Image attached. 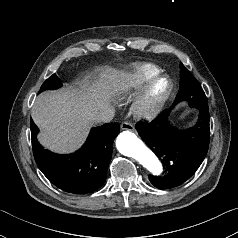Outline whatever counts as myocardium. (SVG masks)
Returning <instances> with one entry per match:
<instances>
[{
    "label": "myocardium",
    "instance_id": "f54148a6",
    "mask_svg": "<svg viewBox=\"0 0 238 238\" xmlns=\"http://www.w3.org/2000/svg\"><path fill=\"white\" fill-rule=\"evenodd\" d=\"M170 91L171 82L167 76L158 75L150 79L134 104L135 116L144 119L156 114L165 103Z\"/></svg>",
    "mask_w": 238,
    "mask_h": 238
}]
</instances>
